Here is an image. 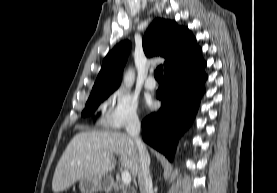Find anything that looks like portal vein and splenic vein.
I'll return each mask as SVG.
<instances>
[{"mask_svg":"<svg viewBox=\"0 0 277 193\" xmlns=\"http://www.w3.org/2000/svg\"><path fill=\"white\" fill-rule=\"evenodd\" d=\"M103 156H107L106 153H103ZM122 182L126 185H129L131 183V174L128 170H124L121 172Z\"/></svg>","mask_w":277,"mask_h":193,"instance_id":"portal-vein-and-splenic-vein-1","label":"portal vein and splenic vein"}]
</instances>
